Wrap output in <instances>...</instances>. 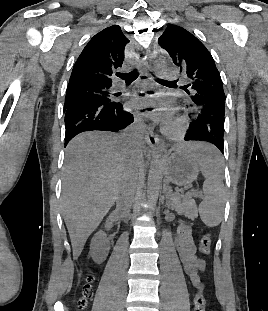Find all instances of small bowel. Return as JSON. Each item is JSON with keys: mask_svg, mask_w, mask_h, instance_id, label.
I'll list each match as a JSON object with an SVG mask.
<instances>
[{"mask_svg": "<svg viewBox=\"0 0 268 311\" xmlns=\"http://www.w3.org/2000/svg\"><path fill=\"white\" fill-rule=\"evenodd\" d=\"M174 241L185 274L193 286L198 287L201 283L200 273L205 270V262L196 254L192 231L186 222H182L177 228Z\"/></svg>", "mask_w": 268, "mask_h": 311, "instance_id": "1", "label": "small bowel"}]
</instances>
